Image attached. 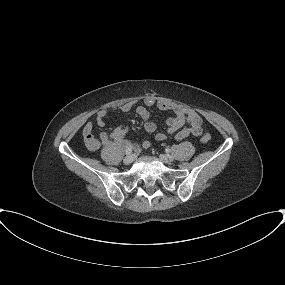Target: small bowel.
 I'll return each mask as SVG.
<instances>
[{"mask_svg":"<svg viewBox=\"0 0 285 285\" xmlns=\"http://www.w3.org/2000/svg\"><path fill=\"white\" fill-rule=\"evenodd\" d=\"M136 106V113L144 121V128L148 133H155L157 141H164L167 135H175L177 140H183L189 136H200L202 134V119L193 110L181 106H174L168 102L157 100L153 97H145L141 100H134L120 105L119 110L123 113L131 111ZM157 107L161 111H173L174 117L166 120V131L157 132L156 124L151 120V113L148 107ZM107 112L100 110L94 122H88L83 128V137L86 147L90 151H96L101 146H117L120 148H131L139 152L150 147L149 141L141 144L130 141L126 138L128 127L118 126L111 133L102 132L96 138L93 134L95 126L104 127L106 125ZM185 125H187L185 127Z\"/></svg>","mask_w":285,"mask_h":285,"instance_id":"1","label":"small bowel"}]
</instances>
